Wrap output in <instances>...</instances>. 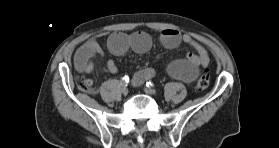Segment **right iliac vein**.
<instances>
[{
	"instance_id": "right-iliac-vein-1",
	"label": "right iliac vein",
	"mask_w": 279,
	"mask_h": 148,
	"mask_svg": "<svg viewBox=\"0 0 279 148\" xmlns=\"http://www.w3.org/2000/svg\"><path fill=\"white\" fill-rule=\"evenodd\" d=\"M128 93H129V90L126 87L122 88L123 95H127Z\"/></svg>"
}]
</instances>
